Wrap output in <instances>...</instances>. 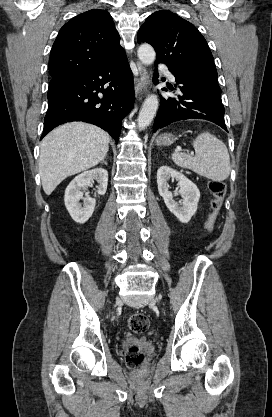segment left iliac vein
Masks as SVG:
<instances>
[{
  "label": "left iliac vein",
  "instance_id": "4c4485c4",
  "mask_svg": "<svg viewBox=\"0 0 272 417\" xmlns=\"http://www.w3.org/2000/svg\"><path fill=\"white\" fill-rule=\"evenodd\" d=\"M155 301H156V302H159V299H158V298H156V299H155Z\"/></svg>",
  "mask_w": 272,
  "mask_h": 417
}]
</instances>
